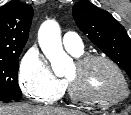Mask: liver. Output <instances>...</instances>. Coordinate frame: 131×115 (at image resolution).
Segmentation results:
<instances>
[{"label":"liver","instance_id":"obj_1","mask_svg":"<svg viewBox=\"0 0 131 115\" xmlns=\"http://www.w3.org/2000/svg\"><path fill=\"white\" fill-rule=\"evenodd\" d=\"M0 115H85L62 108L36 107L29 104L0 105Z\"/></svg>","mask_w":131,"mask_h":115}]
</instances>
